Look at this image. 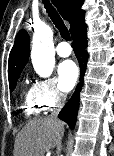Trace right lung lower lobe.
<instances>
[{
    "mask_svg": "<svg viewBox=\"0 0 114 156\" xmlns=\"http://www.w3.org/2000/svg\"><path fill=\"white\" fill-rule=\"evenodd\" d=\"M87 26L82 23L78 28H76L72 33L73 38V48L76 54V57L80 64L81 69V80L78 85L76 91L67 102V104L62 108L58 117L65 121L71 129L74 128L79 108V94L81 91V83L82 77L86 70L87 61H88V53H87V35H86Z\"/></svg>",
    "mask_w": 114,
    "mask_h": 156,
    "instance_id": "1",
    "label": "right lung lower lobe"
}]
</instances>
